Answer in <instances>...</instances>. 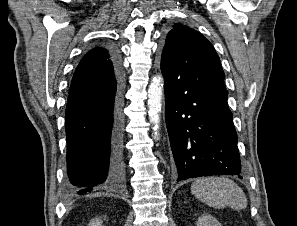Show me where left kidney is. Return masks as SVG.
<instances>
[{"label": "left kidney", "instance_id": "1", "mask_svg": "<svg viewBox=\"0 0 297 226\" xmlns=\"http://www.w3.org/2000/svg\"><path fill=\"white\" fill-rule=\"evenodd\" d=\"M197 226H222V225L213 216L206 214L198 218Z\"/></svg>", "mask_w": 297, "mask_h": 226}]
</instances>
